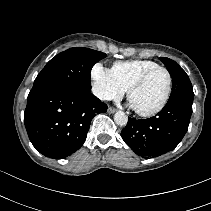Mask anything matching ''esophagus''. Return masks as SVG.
Segmentation results:
<instances>
[{
  "mask_svg": "<svg viewBox=\"0 0 211 211\" xmlns=\"http://www.w3.org/2000/svg\"><path fill=\"white\" fill-rule=\"evenodd\" d=\"M115 112H116V109L115 108H113V107H109L108 108V113L113 114Z\"/></svg>",
  "mask_w": 211,
  "mask_h": 211,
  "instance_id": "34e87169",
  "label": "esophagus"
}]
</instances>
